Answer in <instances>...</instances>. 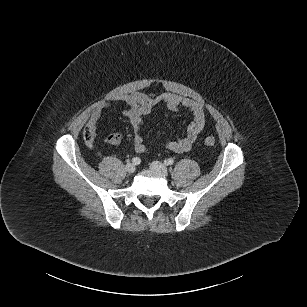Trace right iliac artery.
<instances>
[{
    "label": "right iliac artery",
    "mask_w": 307,
    "mask_h": 307,
    "mask_svg": "<svg viewBox=\"0 0 307 307\" xmlns=\"http://www.w3.org/2000/svg\"><path fill=\"white\" fill-rule=\"evenodd\" d=\"M140 162H141V159H140L139 157H134V158L132 159V163H133L134 165H138V164H140Z\"/></svg>",
    "instance_id": "right-iliac-artery-1"
}]
</instances>
